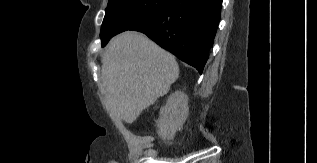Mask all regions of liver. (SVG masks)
I'll return each instance as SVG.
<instances>
[{"mask_svg":"<svg viewBox=\"0 0 317 163\" xmlns=\"http://www.w3.org/2000/svg\"><path fill=\"white\" fill-rule=\"evenodd\" d=\"M101 62L102 92L115 123H133L179 75L174 56L135 31L111 39Z\"/></svg>","mask_w":317,"mask_h":163,"instance_id":"liver-1","label":"liver"}]
</instances>
